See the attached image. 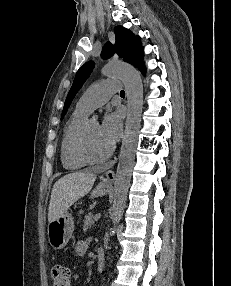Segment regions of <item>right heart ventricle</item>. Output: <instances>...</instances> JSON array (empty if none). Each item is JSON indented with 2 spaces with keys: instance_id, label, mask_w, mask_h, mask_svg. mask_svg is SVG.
<instances>
[{
  "instance_id": "obj_1",
  "label": "right heart ventricle",
  "mask_w": 231,
  "mask_h": 286,
  "mask_svg": "<svg viewBox=\"0 0 231 286\" xmlns=\"http://www.w3.org/2000/svg\"><path fill=\"white\" fill-rule=\"evenodd\" d=\"M88 114L87 111L76 108L64 127L60 143V160L67 170H79L86 165L75 156L73 147L77 133L86 122Z\"/></svg>"
}]
</instances>
